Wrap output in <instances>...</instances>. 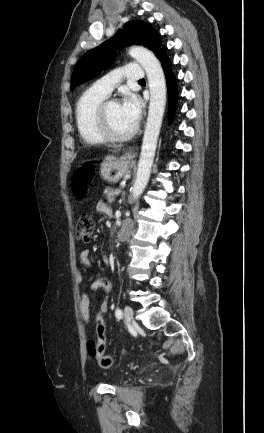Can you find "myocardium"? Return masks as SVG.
<instances>
[{
    "instance_id": "f54148a6",
    "label": "myocardium",
    "mask_w": 264,
    "mask_h": 433,
    "mask_svg": "<svg viewBox=\"0 0 264 433\" xmlns=\"http://www.w3.org/2000/svg\"><path fill=\"white\" fill-rule=\"evenodd\" d=\"M119 103L117 99H106L97 108L95 113V123L100 134L105 138V140L113 142H123L131 139L138 131V125L129 130L124 134L115 133L108 122L107 110L112 104Z\"/></svg>"
}]
</instances>
